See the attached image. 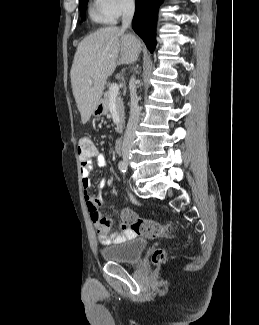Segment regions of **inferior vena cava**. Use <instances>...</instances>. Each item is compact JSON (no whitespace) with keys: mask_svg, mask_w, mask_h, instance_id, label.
Returning <instances> with one entry per match:
<instances>
[{"mask_svg":"<svg viewBox=\"0 0 259 325\" xmlns=\"http://www.w3.org/2000/svg\"><path fill=\"white\" fill-rule=\"evenodd\" d=\"M135 3L134 0H125L123 15H122V30L130 27L134 15ZM131 105L130 117L128 120L127 128L124 134L123 150L130 149L136 138V129L139 122L140 107L138 105L139 98L136 93V87L133 85L130 91Z\"/></svg>","mask_w":259,"mask_h":325,"instance_id":"inferior-vena-cava-1","label":"inferior vena cava"}]
</instances>
